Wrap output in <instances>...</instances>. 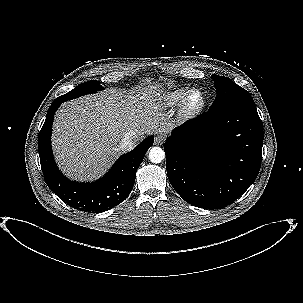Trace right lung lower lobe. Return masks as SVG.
I'll return each instance as SVG.
<instances>
[{"instance_id":"98d812e1","label":"right lung lower lobe","mask_w":303,"mask_h":303,"mask_svg":"<svg viewBox=\"0 0 303 303\" xmlns=\"http://www.w3.org/2000/svg\"><path fill=\"white\" fill-rule=\"evenodd\" d=\"M62 102L65 101L60 97L52 102L38 137L40 163L46 184L74 208L91 213L107 211L129 196L134 186L136 171L145 153L153 145V136L147 137L132 151L122 155L98 181L73 182L58 169L51 148L53 117Z\"/></svg>"}]
</instances>
